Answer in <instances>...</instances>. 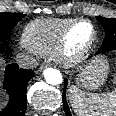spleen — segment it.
<instances>
[{
	"mask_svg": "<svg viewBox=\"0 0 116 116\" xmlns=\"http://www.w3.org/2000/svg\"><path fill=\"white\" fill-rule=\"evenodd\" d=\"M69 100L77 116H116V88L109 93L86 94L73 86Z\"/></svg>",
	"mask_w": 116,
	"mask_h": 116,
	"instance_id": "3e777b00",
	"label": "spleen"
}]
</instances>
